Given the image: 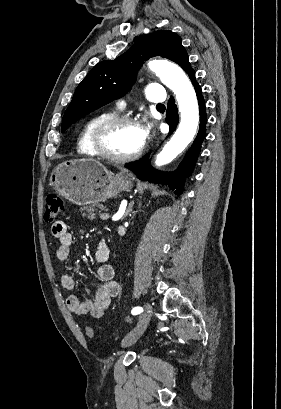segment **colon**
<instances>
[{"mask_svg":"<svg viewBox=\"0 0 281 409\" xmlns=\"http://www.w3.org/2000/svg\"><path fill=\"white\" fill-rule=\"evenodd\" d=\"M63 210V202L57 194L47 195L45 198V219L47 221H54L59 218ZM93 329L87 328L86 334L93 336Z\"/></svg>","mask_w":281,"mask_h":409,"instance_id":"colon-1","label":"colon"}]
</instances>
